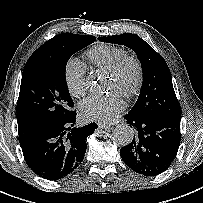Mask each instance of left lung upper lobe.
<instances>
[{"instance_id": "left-lung-upper-lobe-1", "label": "left lung upper lobe", "mask_w": 203, "mask_h": 203, "mask_svg": "<svg viewBox=\"0 0 203 203\" xmlns=\"http://www.w3.org/2000/svg\"><path fill=\"white\" fill-rule=\"evenodd\" d=\"M100 41L127 46L137 54L143 71L139 97L129 114L151 118L181 115L167 63L146 41L136 34L99 37Z\"/></svg>"}]
</instances>
